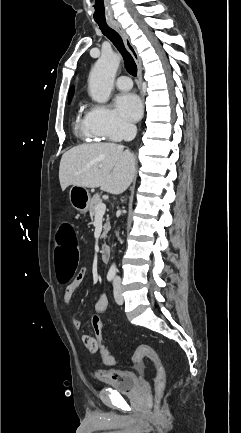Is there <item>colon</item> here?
Here are the masks:
<instances>
[{
    "mask_svg": "<svg viewBox=\"0 0 241 433\" xmlns=\"http://www.w3.org/2000/svg\"><path fill=\"white\" fill-rule=\"evenodd\" d=\"M75 231L76 228L72 224V221L64 220L62 225H57L56 230H52L51 232V249L55 257L57 279L63 284L71 280L79 262ZM101 318L102 315L99 312H96L93 318H91L90 323L94 329L96 341L87 342V345L91 350L97 349L103 361L108 365H112L114 358L102 343ZM143 358H148L155 365V390L157 394H160L165 387V368L163 362L158 353L148 345L139 346L131 356V360L134 363H140ZM107 372L113 373L112 371Z\"/></svg>",
    "mask_w": 241,
    "mask_h": 433,
    "instance_id": "5ec220e1",
    "label": "colon"
}]
</instances>
